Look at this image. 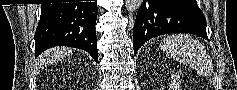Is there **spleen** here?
<instances>
[{"label": "spleen", "mask_w": 237, "mask_h": 90, "mask_svg": "<svg viewBox=\"0 0 237 90\" xmlns=\"http://www.w3.org/2000/svg\"><path fill=\"white\" fill-rule=\"evenodd\" d=\"M160 48L165 52L166 56H170L175 62H184V64H189L196 70L204 68L209 58L204 46L199 44L198 40H195L193 36H188V34L166 36L162 40Z\"/></svg>", "instance_id": "1"}]
</instances>
